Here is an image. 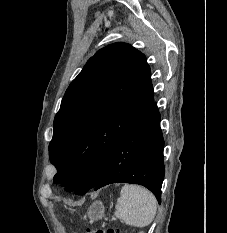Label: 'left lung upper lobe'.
<instances>
[{
    "instance_id": "5c2ea615",
    "label": "left lung upper lobe",
    "mask_w": 227,
    "mask_h": 233,
    "mask_svg": "<svg viewBox=\"0 0 227 233\" xmlns=\"http://www.w3.org/2000/svg\"><path fill=\"white\" fill-rule=\"evenodd\" d=\"M153 102L144 54L122 42L97 51L69 85L54 119V183L77 194L95 187L117 141Z\"/></svg>"
}]
</instances>
